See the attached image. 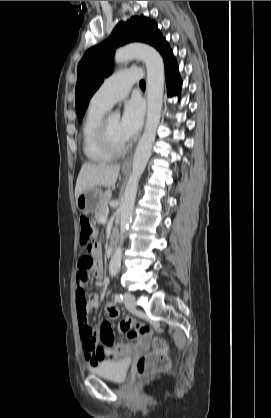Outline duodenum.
<instances>
[{
	"instance_id": "obj_1",
	"label": "duodenum",
	"mask_w": 271,
	"mask_h": 418,
	"mask_svg": "<svg viewBox=\"0 0 271 418\" xmlns=\"http://www.w3.org/2000/svg\"><path fill=\"white\" fill-rule=\"evenodd\" d=\"M117 241H118V235L116 232H114L112 234L111 237V241H110V246H109V253L112 255L116 249L117 246Z\"/></svg>"
}]
</instances>
